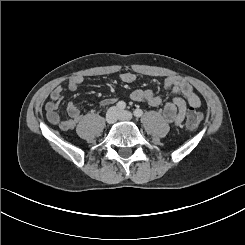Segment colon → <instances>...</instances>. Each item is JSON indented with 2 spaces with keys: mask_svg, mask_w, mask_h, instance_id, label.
Listing matches in <instances>:
<instances>
[{
  "mask_svg": "<svg viewBox=\"0 0 245 245\" xmlns=\"http://www.w3.org/2000/svg\"><path fill=\"white\" fill-rule=\"evenodd\" d=\"M203 120V114L195 109H189L186 115V125L190 129H196Z\"/></svg>",
  "mask_w": 245,
  "mask_h": 245,
  "instance_id": "obj_1",
  "label": "colon"
}]
</instances>
